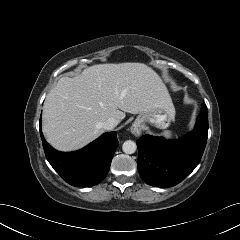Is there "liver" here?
Returning a JSON list of instances; mask_svg holds the SVG:
<instances>
[{
	"mask_svg": "<svg viewBox=\"0 0 240 240\" xmlns=\"http://www.w3.org/2000/svg\"><path fill=\"white\" fill-rule=\"evenodd\" d=\"M173 107L160 76L143 63L98 64L62 77L48 93L42 130L57 150L74 151L104 133L103 123L125 112L141 114Z\"/></svg>",
	"mask_w": 240,
	"mask_h": 240,
	"instance_id": "liver-1",
	"label": "liver"
}]
</instances>
